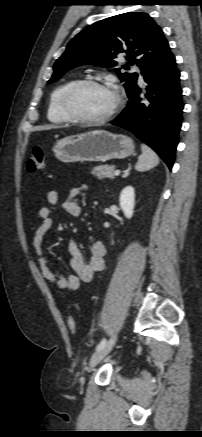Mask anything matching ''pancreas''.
Here are the masks:
<instances>
[{"mask_svg": "<svg viewBox=\"0 0 202 437\" xmlns=\"http://www.w3.org/2000/svg\"><path fill=\"white\" fill-rule=\"evenodd\" d=\"M115 166L114 165H101L97 166L92 170V174L98 179L102 180L105 178L114 179L115 178Z\"/></svg>", "mask_w": 202, "mask_h": 437, "instance_id": "cf45deb5", "label": "pancreas"}]
</instances>
